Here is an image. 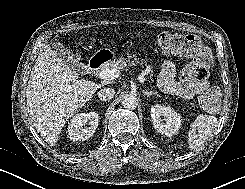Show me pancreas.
Returning <instances> with one entry per match:
<instances>
[{"instance_id": "cf45deb5", "label": "pancreas", "mask_w": 245, "mask_h": 189, "mask_svg": "<svg viewBox=\"0 0 245 189\" xmlns=\"http://www.w3.org/2000/svg\"><path fill=\"white\" fill-rule=\"evenodd\" d=\"M138 62L139 61V58H137L136 55H128L127 57H120L118 59H114L113 61H111L109 63L108 66H105L103 67V69H108V68H114V69H120V70H123L126 66H127V63H131V62ZM140 64L143 66L144 62L146 63V59H141L140 60ZM151 67L150 66H147L146 68V73L147 74H150L151 76ZM149 76V77H150Z\"/></svg>"}]
</instances>
